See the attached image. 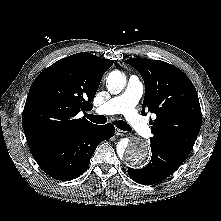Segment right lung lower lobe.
Here are the masks:
<instances>
[{
	"mask_svg": "<svg viewBox=\"0 0 221 221\" xmlns=\"http://www.w3.org/2000/svg\"><path fill=\"white\" fill-rule=\"evenodd\" d=\"M114 132L112 124L93 125L33 148L31 152L38 165L50 177L72 180L87 170L98 144L110 139Z\"/></svg>",
	"mask_w": 221,
	"mask_h": 221,
	"instance_id": "right-lung-lower-lobe-1",
	"label": "right lung lower lobe"
}]
</instances>
